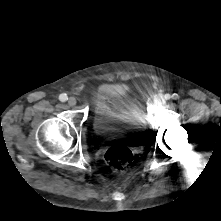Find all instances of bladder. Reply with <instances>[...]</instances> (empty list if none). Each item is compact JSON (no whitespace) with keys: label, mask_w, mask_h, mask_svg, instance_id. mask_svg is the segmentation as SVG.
Returning a JSON list of instances; mask_svg holds the SVG:
<instances>
[{"label":"bladder","mask_w":221,"mask_h":221,"mask_svg":"<svg viewBox=\"0 0 221 221\" xmlns=\"http://www.w3.org/2000/svg\"><path fill=\"white\" fill-rule=\"evenodd\" d=\"M110 96L114 103H104V97L100 96L93 112V126L97 134L112 136L118 134H141L146 129V123L136 107L135 102L115 88L104 92Z\"/></svg>","instance_id":"obj_1"}]
</instances>
